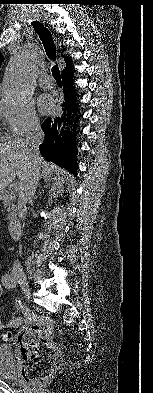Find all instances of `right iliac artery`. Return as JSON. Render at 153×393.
<instances>
[{
  "instance_id": "1",
  "label": "right iliac artery",
  "mask_w": 153,
  "mask_h": 393,
  "mask_svg": "<svg viewBox=\"0 0 153 393\" xmlns=\"http://www.w3.org/2000/svg\"><path fill=\"white\" fill-rule=\"evenodd\" d=\"M2 283L6 288L12 289L14 287L15 281L11 275L6 274L2 277Z\"/></svg>"
}]
</instances>
